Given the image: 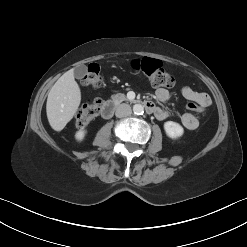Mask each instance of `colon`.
Masks as SVG:
<instances>
[{
    "instance_id": "obj_1",
    "label": "colon",
    "mask_w": 247,
    "mask_h": 247,
    "mask_svg": "<svg viewBox=\"0 0 247 247\" xmlns=\"http://www.w3.org/2000/svg\"><path fill=\"white\" fill-rule=\"evenodd\" d=\"M132 68L143 74L156 87L171 88L175 85L174 77L163 67L160 60L144 57L132 62ZM82 84L97 88L101 86L103 78L98 64L91 63L86 74L82 78ZM187 108L192 111L203 113L204 107L195 103H188ZM101 100L95 98L84 104L78 111L75 121L78 127L87 126L100 112Z\"/></svg>"
}]
</instances>
